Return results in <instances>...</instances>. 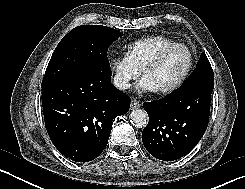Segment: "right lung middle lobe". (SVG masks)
Instances as JSON below:
<instances>
[{
	"label": "right lung middle lobe",
	"mask_w": 245,
	"mask_h": 189,
	"mask_svg": "<svg viewBox=\"0 0 245 189\" xmlns=\"http://www.w3.org/2000/svg\"><path fill=\"white\" fill-rule=\"evenodd\" d=\"M123 34L102 25H83L71 30L57 45L47 66L42 89L62 82L88 66H110L107 50Z\"/></svg>",
	"instance_id": "right-lung-middle-lobe-1"
}]
</instances>
